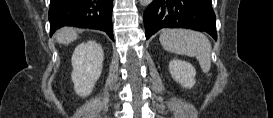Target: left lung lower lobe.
I'll return each instance as SVG.
<instances>
[{
  "label": "left lung lower lobe",
  "mask_w": 273,
  "mask_h": 118,
  "mask_svg": "<svg viewBox=\"0 0 273 118\" xmlns=\"http://www.w3.org/2000/svg\"><path fill=\"white\" fill-rule=\"evenodd\" d=\"M143 19L146 39L161 28H191L217 39L211 0H153Z\"/></svg>",
  "instance_id": "obj_1"
}]
</instances>
